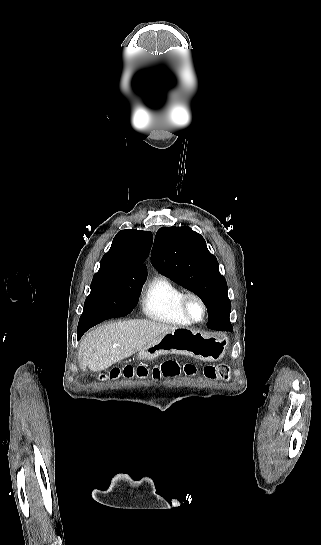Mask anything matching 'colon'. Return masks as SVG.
<instances>
[{"label":"colon","instance_id":"obj_1","mask_svg":"<svg viewBox=\"0 0 321 545\" xmlns=\"http://www.w3.org/2000/svg\"><path fill=\"white\" fill-rule=\"evenodd\" d=\"M181 372H184L187 375H192L196 372V367L191 363L181 364L176 360H167L159 366L152 368L146 366H128L123 369H112L106 375H104V378L117 379L120 376H124L126 378H145L147 376H151L154 379H160L162 377H175ZM203 373L208 379L226 381L231 375V369L226 363L210 364L204 366Z\"/></svg>","mask_w":321,"mask_h":545}]
</instances>
